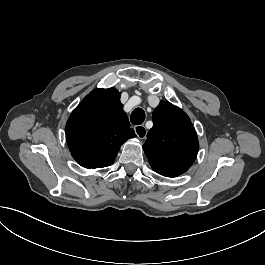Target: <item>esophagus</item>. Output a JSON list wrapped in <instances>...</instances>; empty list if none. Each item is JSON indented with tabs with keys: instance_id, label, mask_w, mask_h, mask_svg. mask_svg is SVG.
<instances>
[{
	"instance_id": "esophagus-1",
	"label": "esophagus",
	"mask_w": 265,
	"mask_h": 265,
	"mask_svg": "<svg viewBox=\"0 0 265 265\" xmlns=\"http://www.w3.org/2000/svg\"><path fill=\"white\" fill-rule=\"evenodd\" d=\"M134 131H135V134L137 135V137L139 139H145L146 138V135H147V129L145 126L143 125H137V126H134Z\"/></svg>"
}]
</instances>
